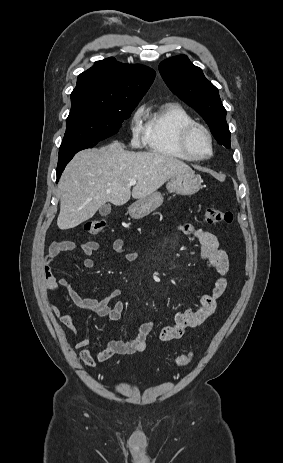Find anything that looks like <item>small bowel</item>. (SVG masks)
<instances>
[{
    "label": "small bowel",
    "instance_id": "obj_1",
    "mask_svg": "<svg viewBox=\"0 0 283 463\" xmlns=\"http://www.w3.org/2000/svg\"><path fill=\"white\" fill-rule=\"evenodd\" d=\"M179 229L188 236H192L198 241L199 254L201 258L207 260L217 274L214 286L210 293L203 294L199 304L192 308L179 312L171 325L163 326L158 333L160 341H172L183 336L188 327L201 325L216 309L217 299L222 296L227 288L229 272V260L226 252L220 248L217 237L204 229L197 228L191 223H185ZM115 252L124 255L127 261L136 262L138 255L129 252L125 248V242L117 238L112 243ZM99 249V244L95 241H87L77 244L71 240H57L51 243L48 253L44 260L42 269L44 277V287L47 291L58 293L65 289L70 299L79 307L95 312L99 316L107 317L113 324H119L124 304L121 301H113L121 294V290L116 289L111 296L104 299H87L81 297L71 286L66 278L56 279L51 270L54 263L64 252L81 251L86 256L83 260L85 269H92L95 266L94 260L90 257ZM51 312L59 319L62 325L73 330L74 318L70 313L62 314L55 305H50ZM154 328V322L143 323L136 337L128 340L112 338L107 341L104 347L93 349L89 347L90 341L87 338L80 339L75 347L80 350V359L88 367H93L96 362H104L115 354H134L143 352L148 347L147 338Z\"/></svg>",
    "mask_w": 283,
    "mask_h": 463
}]
</instances>
